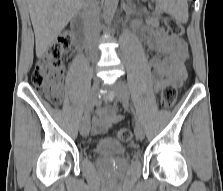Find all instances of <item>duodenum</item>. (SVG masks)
I'll return each mask as SVG.
<instances>
[{
    "instance_id": "duodenum-1",
    "label": "duodenum",
    "mask_w": 223,
    "mask_h": 191,
    "mask_svg": "<svg viewBox=\"0 0 223 191\" xmlns=\"http://www.w3.org/2000/svg\"><path fill=\"white\" fill-rule=\"evenodd\" d=\"M72 32L76 36L78 44H80L84 35V27L82 25V22L79 21L78 18L73 21Z\"/></svg>"
}]
</instances>
